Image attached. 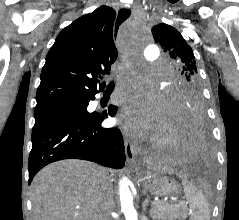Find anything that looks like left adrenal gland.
I'll use <instances>...</instances> for the list:
<instances>
[{"instance_id":"1","label":"left adrenal gland","mask_w":239,"mask_h":220,"mask_svg":"<svg viewBox=\"0 0 239 220\" xmlns=\"http://www.w3.org/2000/svg\"><path fill=\"white\" fill-rule=\"evenodd\" d=\"M149 202H150V199H149V197H147V199L142 204V211L143 212H146V208H147V205L149 204Z\"/></svg>"}]
</instances>
